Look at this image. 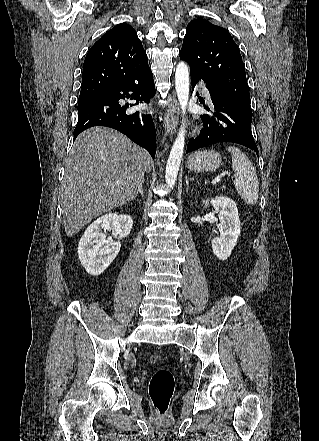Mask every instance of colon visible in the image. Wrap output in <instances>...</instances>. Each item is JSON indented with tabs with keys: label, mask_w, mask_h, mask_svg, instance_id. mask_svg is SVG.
Listing matches in <instances>:
<instances>
[{
	"label": "colon",
	"mask_w": 319,
	"mask_h": 441,
	"mask_svg": "<svg viewBox=\"0 0 319 441\" xmlns=\"http://www.w3.org/2000/svg\"><path fill=\"white\" fill-rule=\"evenodd\" d=\"M148 359L153 365L159 364L162 361V357L158 354H152ZM174 386V376L172 372L166 368L156 370L150 379L149 395L155 411L160 417L167 414L174 393Z\"/></svg>",
	"instance_id": "colon-1"
}]
</instances>
